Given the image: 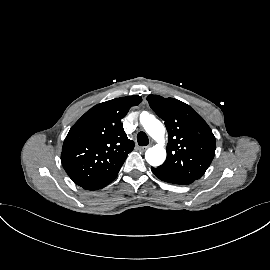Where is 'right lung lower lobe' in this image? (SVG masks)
<instances>
[{"mask_svg":"<svg viewBox=\"0 0 270 270\" xmlns=\"http://www.w3.org/2000/svg\"><path fill=\"white\" fill-rule=\"evenodd\" d=\"M117 174L114 176H111L109 178L103 179L101 181L98 182H94V183H90L84 186H81L84 189L87 190H98V189H102L105 186H107L109 183H111L115 178H116Z\"/></svg>","mask_w":270,"mask_h":270,"instance_id":"obj_1","label":"right lung lower lobe"}]
</instances>
